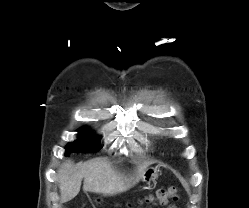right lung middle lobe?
<instances>
[{
	"label": "right lung middle lobe",
	"mask_w": 249,
	"mask_h": 208,
	"mask_svg": "<svg viewBox=\"0 0 249 208\" xmlns=\"http://www.w3.org/2000/svg\"><path fill=\"white\" fill-rule=\"evenodd\" d=\"M89 132L87 129L79 131L81 135L80 138L67 145L65 154L69 155L71 152L80 151L94 152L101 149L102 146L100 145L99 139L91 136Z\"/></svg>",
	"instance_id": "dd1d6c3e"
}]
</instances>
